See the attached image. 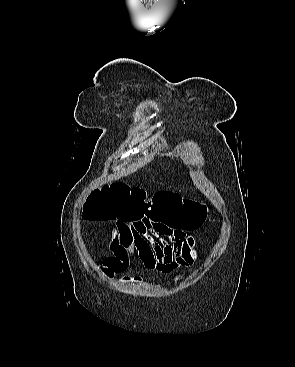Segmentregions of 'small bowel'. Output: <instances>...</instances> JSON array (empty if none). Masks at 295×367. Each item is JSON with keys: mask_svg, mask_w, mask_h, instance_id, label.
<instances>
[{"mask_svg": "<svg viewBox=\"0 0 295 367\" xmlns=\"http://www.w3.org/2000/svg\"><path fill=\"white\" fill-rule=\"evenodd\" d=\"M111 254L102 262L107 277L124 283H139L141 276L125 273L137 251L145 268L162 274H175V280L197 259L196 242L190 231L168 221H116L109 244Z\"/></svg>", "mask_w": 295, "mask_h": 367, "instance_id": "c3829d8e", "label": "small bowel"}]
</instances>
